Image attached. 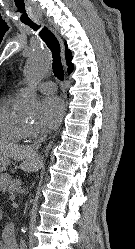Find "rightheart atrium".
I'll list each match as a JSON object with an SVG mask.
<instances>
[{
	"instance_id": "right-heart-atrium-1",
	"label": "right heart atrium",
	"mask_w": 135,
	"mask_h": 249,
	"mask_svg": "<svg viewBox=\"0 0 135 249\" xmlns=\"http://www.w3.org/2000/svg\"><path fill=\"white\" fill-rule=\"evenodd\" d=\"M41 128L37 125H29L27 126V136L28 137H36L41 134Z\"/></svg>"
}]
</instances>
